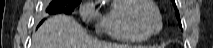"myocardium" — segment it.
Returning <instances> with one entry per match:
<instances>
[{
    "instance_id": "f54148a6",
    "label": "myocardium",
    "mask_w": 213,
    "mask_h": 48,
    "mask_svg": "<svg viewBox=\"0 0 213 48\" xmlns=\"http://www.w3.org/2000/svg\"><path fill=\"white\" fill-rule=\"evenodd\" d=\"M141 3L151 6L156 12L157 20H158V28L156 29V31H154L152 33H148V34L143 33L138 28V26L136 25V23H135V21L133 19L132 13H133L134 9L138 6V4H141ZM125 19H126L128 25L130 26V28L137 35L142 36V37H144L146 39L157 35L161 31V29L163 27V21H162L161 12H160L159 8L156 6V4L153 1H150V0H131L130 4L125 9Z\"/></svg>"
}]
</instances>
